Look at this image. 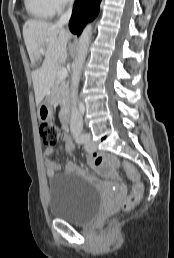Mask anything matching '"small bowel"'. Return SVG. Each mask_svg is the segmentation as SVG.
I'll use <instances>...</instances> for the list:
<instances>
[{
    "instance_id": "small-bowel-1",
    "label": "small bowel",
    "mask_w": 174,
    "mask_h": 258,
    "mask_svg": "<svg viewBox=\"0 0 174 258\" xmlns=\"http://www.w3.org/2000/svg\"><path fill=\"white\" fill-rule=\"evenodd\" d=\"M66 128V126H64ZM62 141L64 143L65 150L70 152L73 148L72 142L69 135L65 132L62 134ZM53 153V149L48 147L45 150V155L50 156ZM88 164L94 168L97 172L105 176L107 179L115 180L117 179L116 175V166L118 164V159L114 155L103 156L97 152H91L86 158ZM46 172L49 177H53L56 172L60 170V163L50 159L45 160ZM67 172H82L76 164L70 162L66 166ZM96 178H99V175H96ZM96 182V179L92 178Z\"/></svg>"
}]
</instances>
